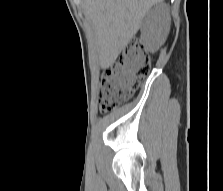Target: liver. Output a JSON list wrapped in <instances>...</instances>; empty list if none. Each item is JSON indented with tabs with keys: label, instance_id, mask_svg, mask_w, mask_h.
Returning a JSON list of instances; mask_svg holds the SVG:
<instances>
[{
	"label": "liver",
	"instance_id": "6515ba94",
	"mask_svg": "<svg viewBox=\"0 0 223 191\" xmlns=\"http://www.w3.org/2000/svg\"><path fill=\"white\" fill-rule=\"evenodd\" d=\"M163 0H83L85 16L97 38L102 68L114 64L132 40L148 11Z\"/></svg>",
	"mask_w": 223,
	"mask_h": 191
}]
</instances>
